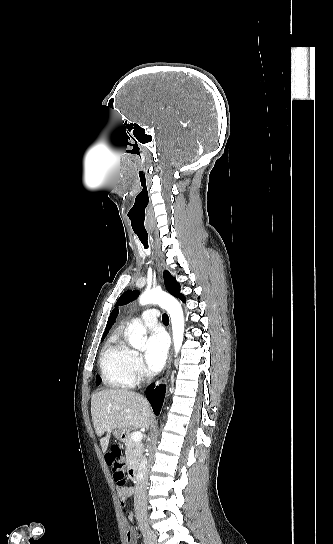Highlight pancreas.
<instances>
[{
    "label": "pancreas",
    "mask_w": 333,
    "mask_h": 544,
    "mask_svg": "<svg viewBox=\"0 0 333 544\" xmlns=\"http://www.w3.org/2000/svg\"><path fill=\"white\" fill-rule=\"evenodd\" d=\"M124 442L127 465H137L142 456V443L133 441L130 433L126 435Z\"/></svg>",
    "instance_id": "cf45deb5"
}]
</instances>
